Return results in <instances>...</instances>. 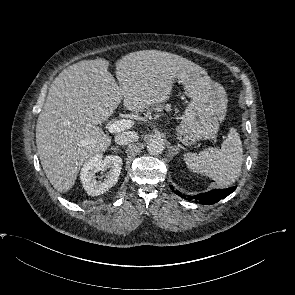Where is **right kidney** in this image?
I'll use <instances>...</instances> for the list:
<instances>
[{"mask_svg": "<svg viewBox=\"0 0 295 295\" xmlns=\"http://www.w3.org/2000/svg\"><path fill=\"white\" fill-rule=\"evenodd\" d=\"M122 159L116 155L103 157L97 154L89 158L83 165L80 179L86 192L91 196H98L108 191L119 179L121 172ZM106 173L102 180L96 179V173Z\"/></svg>", "mask_w": 295, "mask_h": 295, "instance_id": "right-kidney-1", "label": "right kidney"}]
</instances>
